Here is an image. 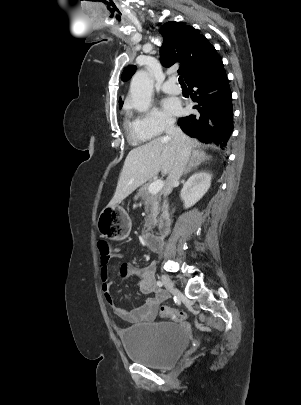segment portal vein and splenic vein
I'll return each instance as SVG.
<instances>
[{"label": "portal vein and splenic vein", "mask_w": 301, "mask_h": 405, "mask_svg": "<svg viewBox=\"0 0 301 405\" xmlns=\"http://www.w3.org/2000/svg\"><path fill=\"white\" fill-rule=\"evenodd\" d=\"M163 186H164L163 181L162 180H157V181H154L153 183H151L149 185L148 190H149L150 193L156 194L163 188Z\"/></svg>", "instance_id": "portal-vein-and-splenic-vein-1"}]
</instances>
